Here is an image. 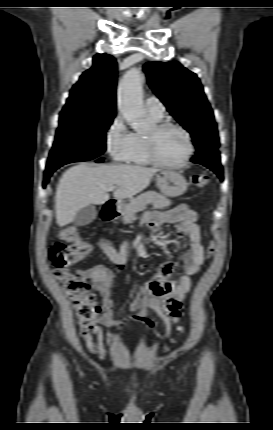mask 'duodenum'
Wrapping results in <instances>:
<instances>
[{"mask_svg": "<svg viewBox=\"0 0 273 430\" xmlns=\"http://www.w3.org/2000/svg\"><path fill=\"white\" fill-rule=\"evenodd\" d=\"M119 215L117 206L114 203H107L101 211V217L104 221H111Z\"/></svg>", "mask_w": 273, "mask_h": 430, "instance_id": "duodenum-1", "label": "duodenum"}]
</instances>
